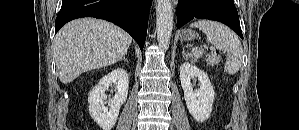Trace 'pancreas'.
I'll list each match as a JSON object with an SVG mask.
<instances>
[{
    "label": "pancreas",
    "mask_w": 299,
    "mask_h": 130,
    "mask_svg": "<svg viewBox=\"0 0 299 130\" xmlns=\"http://www.w3.org/2000/svg\"><path fill=\"white\" fill-rule=\"evenodd\" d=\"M221 58L217 55H211L207 59V63L210 66L218 65L220 63Z\"/></svg>",
    "instance_id": "cf45deb5"
}]
</instances>
